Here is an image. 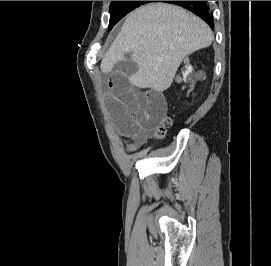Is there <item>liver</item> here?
<instances>
[{
	"mask_svg": "<svg viewBox=\"0 0 271 266\" xmlns=\"http://www.w3.org/2000/svg\"><path fill=\"white\" fill-rule=\"evenodd\" d=\"M212 40V30L199 17L178 6L152 3L129 14L100 68L109 74L108 67L131 54L138 69L129 77L130 83L163 92L183 59L210 46Z\"/></svg>",
	"mask_w": 271,
	"mask_h": 266,
	"instance_id": "6515ba94",
	"label": "liver"
}]
</instances>
